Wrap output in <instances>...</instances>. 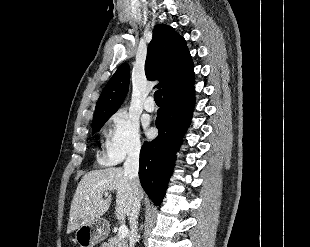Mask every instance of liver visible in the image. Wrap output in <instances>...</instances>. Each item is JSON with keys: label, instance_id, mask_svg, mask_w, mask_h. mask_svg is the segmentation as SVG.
Wrapping results in <instances>:
<instances>
[{"label": "liver", "instance_id": "obj_1", "mask_svg": "<svg viewBox=\"0 0 310 247\" xmlns=\"http://www.w3.org/2000/svg\"><path fill=\"white\" fill-rule=\"evenodd\" d=\"M130 180L120 167L93 170L80 180L71 202L67 233L80 225L100 218L111 204L108 192L116 191V218L120 221L129 217L132 207ZM105 196V198L103 197ZM143 191L139 188V198Z\"/></svg>", "mask_w": 310, "mask_h": 247}]
</instances>
